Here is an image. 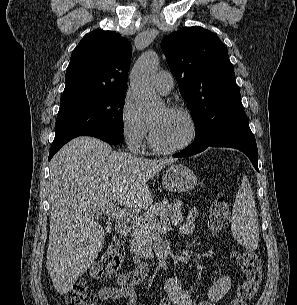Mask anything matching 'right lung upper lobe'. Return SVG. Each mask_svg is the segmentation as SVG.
<instances>
[{"label": "right lung upper lobe", "mask_w": 297, "mask_h": 305, "mask_svg": "<svg viewBox=\"0 0 297 305\" xmlns=\"http://www.w3.org/2000/svg\"><path fill=\"white\" fill-rule=\"evenodd\" d=\"M131 56L130 42L118 33H88L72 52L60 100L126 92Z\"/></svg>", "instance_id": "1"}]
</instances>
